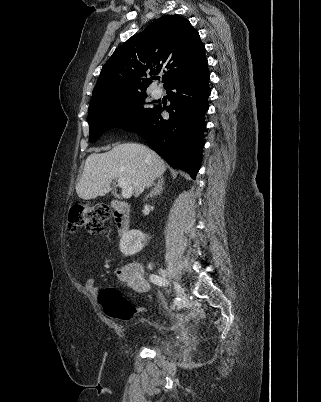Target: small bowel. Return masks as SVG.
I'll list each match as a JSON object with an SVG mask.
<instances>
[{"label":"small bowel","instance_id":"c3829d8e","mask_svg":"<svg viewBox=\"0 0 321 402\" xmlns=\"http://www.w3.org/2000/svg\"><path fill=\"white\" fill-rule=\"evenodd\" d=\"M118 279L124 287L137 293H146L150 290V283L145 277V270L138 262H131L120 268ZM87 286L92 291H97L98 287L92 280H89Z\"/></svg>","mask_w":321,"mask_h":402}]
</instances>
